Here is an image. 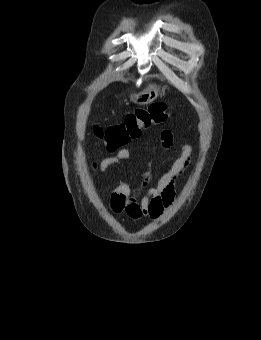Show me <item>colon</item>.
I'll return each mask as SVG.
<instances>
[{
  "instance_id": "obj_1",
  "label": "colon",
  "mask_w": 261,
  "mask_h": 340,
  "mask_svg": "<svg viewBox=\"0 0 261 340\" xmlns=\"http://www.w3.org/2000/svg\"><path fill=\"white\" fill-rule=\"evenodd\" d=\"M170 116V106L156 102L146 108L136 109L117 124L106 128L95 126L94 133L109 151H114L139 137L143 130L165 122Z\"/></svg>"
}]
</instances>
